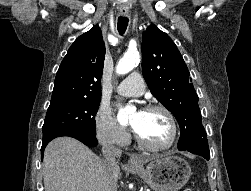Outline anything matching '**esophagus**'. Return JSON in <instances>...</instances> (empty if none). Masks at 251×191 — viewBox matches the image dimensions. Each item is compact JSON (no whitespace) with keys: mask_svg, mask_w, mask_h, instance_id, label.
<instances>
[{"mask_svg":"<svg viewBox=\"0 0 251 191\" xmlns=\"http://www.w3.org/2000/svg\"><path fill=\"white\" fill-rule=\"evenodd\" d=\"M127 12H121V15H126ZM128 165L131 167H138L140 165V159L135 156H131L128 160Z\"/></svg>","mask_w":251,"mask_h":191,"instance_id":"1","label":"esophagus"}]
</instances>
